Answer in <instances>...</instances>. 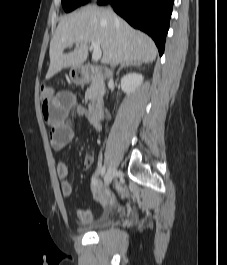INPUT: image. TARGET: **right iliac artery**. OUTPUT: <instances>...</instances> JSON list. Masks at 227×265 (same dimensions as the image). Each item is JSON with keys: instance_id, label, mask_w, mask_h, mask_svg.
Returning a JSON list of instances; mask_svg holds the SVG:
<instances>
[{"instance_id": "right-iliac-artery-1", "label": "right iliac artery", "mask_w": 227, "mask_h": 265, "mask_svg": "<svg viewBox=\"0 0 227 265\" xmlns=\"http://www.w3.org/2000/svg\"><path fill=\"white\" fill-rule=\"evenodd\" d=\"M108 170H109V169H108ZM107 173H108V171H107ZM107 173L105 174V167H103V168H102V171H101V175L106 177Z\"/></svg>"}]
</instances>
